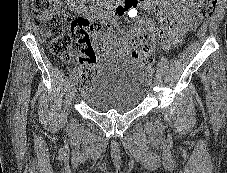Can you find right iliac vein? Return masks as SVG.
Here are the masks:
<instances>
[{
	"label": "right iliac vein",
	"instance_id": "obj_1",
	"mask_svg": "<svg viewBox=\"0 0 227 173\" xmlns=\"http://www.w3.org/2000/svg\"><path fill=\"white\" fill-rule=\"evenodd\" d=\"M77 85H78V76L74 78L73 88L76 89Z\"/></svg>",
	"mask_w": 227,
	"mask_h": 173
}]
</instances>
